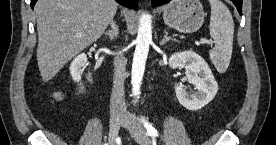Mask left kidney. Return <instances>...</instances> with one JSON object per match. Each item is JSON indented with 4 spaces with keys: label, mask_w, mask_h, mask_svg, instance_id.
Instances as JSON below:
<instances>
[{
    "label": "left kidney",
    "mask_w": 276,
    "mask_h": 145,
    "mask_svg": "<svg viewBox=\"0 0 276 145\" xmlns=\"http://www.w3.org/2000/svg\"><path fill=\"white\" fill-rule=\"evenodd\" d=\"M172 69L184 67L186 77L197 91L189 94L179 84H175V93L179 103L188 110L196 111L207 105L216 95L218 84L205 60L197 53L187 50L174 53L169 58Z\"/></svg>",
    "instance_id": "left-kidney-1"
}]
</instances>
